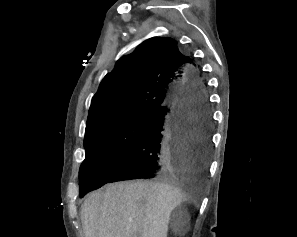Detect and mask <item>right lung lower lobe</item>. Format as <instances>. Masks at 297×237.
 I'll use <instances>...</instances> for the list:
<instances>
[{
  "mask_svg": "<svg viewBox=\"0 0 297 237\" xmlns=\"http://www.w3.org/2000/svg\"><path fill=\"white\" fill-rule=\"evenodd\" d=\"M211 114L205 85L195 64L188 81L152 112L130 149L104 178L107 183L197 174L209 165Z\"/></svg>",
  "mask_w": 297,
  "mask_h": 237,
  "instance_id": "right-lung-lower-lobe-1",
  "label": "right lung lower lobe"
}]
</instances>
